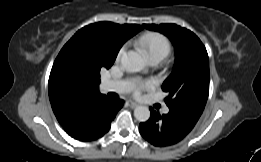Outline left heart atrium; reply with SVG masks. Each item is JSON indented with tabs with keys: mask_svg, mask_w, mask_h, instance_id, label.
<instances>
[{
	"mask_svg": "<svg viewBox=\"0 0 261 162\" xmlns=\"http://www.w3.org/2000/svg\"><path fill=\"white\" fill-rule=\"evenodd\" d=\"M152 86L150 82L138 81L134 87V93L139 94L143 89H148Z\"/></svg>",
	"mask_w": 261,
	"mask_h": 162,
	"instance_id": "1",
	"label": "left heart atrium"
}]
</instances>
